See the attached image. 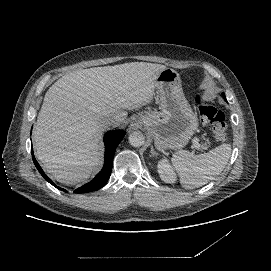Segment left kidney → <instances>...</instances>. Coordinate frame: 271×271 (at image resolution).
Returning <instances> with one entry per match:
<instances>
[{"label":"left kidney","mask_w":271,"mask_h":271,"mask_svg":"<svg viewBox=\"0 0 271 271\" xmlns=\"http://www.w3.org/2000/svg\"><path fill=\"white\" fill-rule=\"evenodd\" d=\"M157 167L160 178L165 183H174L176 181V174L167 159L159 161Z\"/></svg>","instance_id":"left-kidney-1"}]
</instances>
